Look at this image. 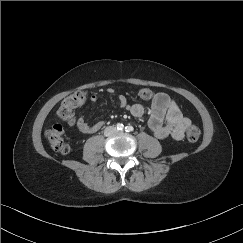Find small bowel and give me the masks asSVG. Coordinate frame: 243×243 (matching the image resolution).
I'll return each mask as SVG.
<instances>
[{
    "mask_svg": "<svg viewBox=\"0 0 243 243\" xmlns=\"http://www.w3.org/2000/svg\"><path fill=\"white\" fill-rule=\"evenodd\" d=\"M107 94L114 93L112 88L107 89ZM142 99H151V111L148 119V126L152 134L159 139L171 136L174 139H181L186 129L190 126V119L185 117L179 105L172 100L165 92L153 94L149 89H142L139 92ZM90 100L93 103L99 101L97 94H91ZM119 106L128 111L133 117H141L145 108L141 103H128L124 97H120ZM77 128L83 133H93L99 130L103 121L89 123L83 114L77 121Z\"/></svg>",
    "mask_w": 243,
    "mask_h": 243,
    "instance_id": "c3829d8e",
    "label": "small bowel"
}]
</instances>
